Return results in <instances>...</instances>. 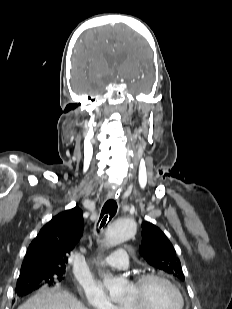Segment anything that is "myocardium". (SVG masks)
Here are the masks:
<instances>
[{
  "instance_id": "1",
  "label": "myocardium",
  "mask_w": 232,
  "mask_h": 309,
  "mask_svg": "<svg viewBox=\"0 0 232 309\" xmlns=\"http://www.w3.org/2000/svg\"><path fill=\"white\" fill-rule=\"evenodd\" d=\"M151 280H160L166 283L167 285H169L174 290V292L177 294L179 298L180 303H179L178 309H184L185 300H184V296L180 288L173 280H171L169 277H167L166 275L162 273L145 272L142 274H138L137 276L134 277L132 284L133 286H135L136 288L140 290L145 286L147 282ZM122 306L124 309H145V307L141 304L124 303Z\"/></svg>"
}]
</instances>
